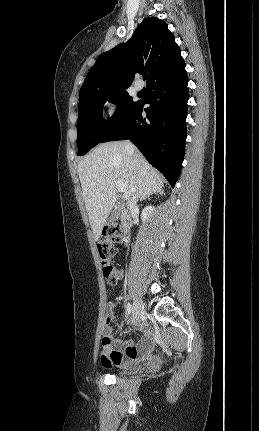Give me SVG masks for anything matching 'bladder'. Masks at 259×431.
<instances>
[{"label": "bladder", "mask_w": 259, "mask_h": 431, "mask_svg": "<svg viewBox=\"0 0 259 431\" xmlns=\"http://www.w3.org/2000/svg\"><path fill=\"white\" fill-rule=\"evenodd\" d=\"M138 370L137 367H129V368H124V369H120L117 371L118 375H127V374H133Z\"/></svg>", "instance_id": "bladder-1"}]
</instances>
